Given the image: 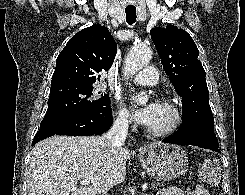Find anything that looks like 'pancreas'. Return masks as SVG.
<instances>
[{
    "mask_svg": "<svg viewBox=\"0 0 245 195\" xmlns=\"http://www.w3.org/2000/svg\"><path fill=\"white\" fill-rule=\"evenodd\" d=\"M159 184H155L154 182L152 183V189H154L155 187H157Z\"/></svg>",
    "mask_w": 245,
    "mask_h": 195,
    "instance_id": "obj_1",
    "label": "pancreas"
}]
</instances>
